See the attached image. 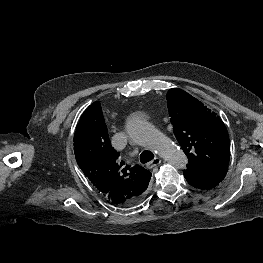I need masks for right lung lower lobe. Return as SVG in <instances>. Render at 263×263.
<instances>
[{"mask_svg": "<svg viewBox=\"0 0 263 263\" xmlns=\"http://www.w3.org/2000/svg\"><path fill=\"white\" fill-rule=\"evenodd\" d=\"M140 198H141V196H140V197H138V198H136V199H134V200L131 202V204H133V203L137 202V201H138Z\"/></svg>", "mask_w": 263, "mask_h": 263, "instance_id": "1", "label": "right lung lower lobe"}]
</instances>
